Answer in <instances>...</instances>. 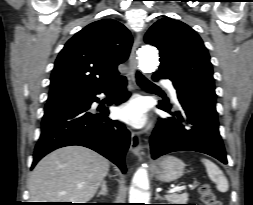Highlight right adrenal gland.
Masks as SVG:
<instances>
[{
	"label": "right adrenal gland",
	"instance_id": "right-adrenal-gland-1",
	"mask_svg": "<svg viewBox=\"0 0 253 205\" xmlns=\"http://www.w3.org/2000/svg\"><path fill=\"white\" fill-rule=\"evenodd\" d=\"M108 193V188H107V184H106V181H103L102 184H101V190L97 193V196H105L107 195Z\"/></svg>",
	"mask_w": 253,
	"mask_h": 205
}]
</instances>
